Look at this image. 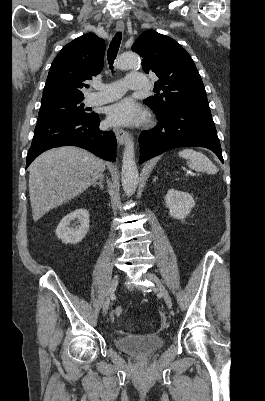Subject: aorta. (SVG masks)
I'll return each mask as SVG.
<instances>
[{"mask_svg":"<svg viewBox=\"0 0 265 401\" xmlns=\"http://www.w3.org/2000/svg\"><path fill=\"white\" fill-rule=\"evenodd\" d=\"M140 56L134 52H123L120 56L118 66L120 68H138L140 66ZM139 172L135 162L133 138H128L125 142V148L122 158L121 180L125 194L131 196L138 186Z\"/></svg>","mask_w":265,"mask_h":401,"instance_id":"762f6f07","label":"aorta"}]
</instances>
